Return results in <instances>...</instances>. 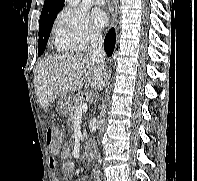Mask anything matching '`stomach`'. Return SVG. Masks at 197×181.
I'll return each mask as SVG.
<instances>
[{"mask_svg":"<svg viewBox=\"0 0 197 181\" xmlns=\"http://www.w3.org/2000/svg\"><path fill=\"white\" fill-rule=\"evenodd\" d=\"M72 104L73 102L70 97H67L66 95L61 96L58 102L57 112L61 115L69 114Z\"/></svg>","mask_w":197,"mask_h":181,"instance_id":"0dacf381","label":"stomach"}]
</instances>
